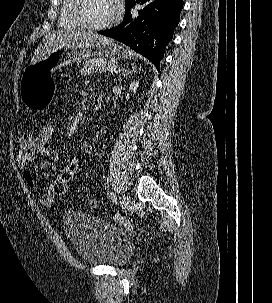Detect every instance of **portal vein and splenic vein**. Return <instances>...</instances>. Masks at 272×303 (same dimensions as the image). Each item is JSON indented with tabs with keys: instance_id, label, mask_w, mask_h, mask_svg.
Here are the masks:
<instances>
[{
	"instance_id": "18ae733b",
	"label": "portal vein and splenic vein",
	"mask_w": 272,
	"mask_h": 303,
	"mask_svg": "<svg viewBox=\"0 0 272 303\" xmlns=\"http://www.w3.org/2000/svg\"><path fill=\"white\" fill-rule=\"evenodd\" d=\"M106 70L110 71L111 73H118V72H120V69L117 68V67H107Z\"/></svg>"
}]
</instances>
